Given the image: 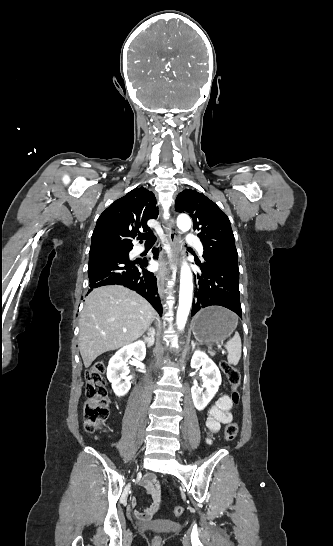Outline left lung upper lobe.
<instances>
[{
    "label": "left lung upper lobe",
    "mask_w": 333,
    "mask_h": 546,
    "mask_svg": "<svg viewBox=\"0 0 333 546\" xmlns=\"http://www.w3.org/2000/svg\"><path fill=\"white\" fill-rule=\"evenodd\" d=\"M175 210L192 217L193 228L204 246L205 262H238L229 218L214 202L203 193L187 189L177 196Z\"/></svg>",
    "instance_id": "5c2ea615"
}]
</instances>
